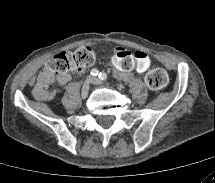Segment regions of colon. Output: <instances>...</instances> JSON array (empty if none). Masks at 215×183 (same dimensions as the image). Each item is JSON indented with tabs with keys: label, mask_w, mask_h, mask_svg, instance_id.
Returning <instances> with one entry per match:
<instances>
[{
	"label": "colon",
	"mask_w": 215,
	"mask_h": 183,
	"mask_svg": "<svg viewBox=\"0 0 215 183\" xmlns=\"http://www.w3.org/2000/svg\"><path fill=\"white\" fill-rule=\"evenodd\" d=\"M95 60L94 51L88 47L79 48L74 52H62L47 62L43 80H54L67 75L70 71L84 70L93 65ZM167 80V73L162 68L152 69L145 76L146 84L152 89L163 88Z\"/></svg>",
	"instance_id": "5ec220e1"
}]
</instances>
